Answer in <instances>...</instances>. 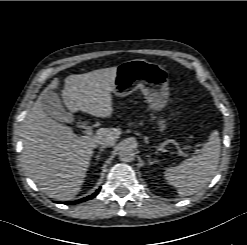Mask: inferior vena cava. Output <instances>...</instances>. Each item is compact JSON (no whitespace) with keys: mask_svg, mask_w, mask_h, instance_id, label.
Here are the masks:
<instances>
[{"mask_svg":"<svg viewBox=\"0 0 247 245\" xmlns=\"http://www.w3.org/2000/svg\"><path fill=\"white\" fill-rule=\"evenodd\" d=\"M99 145L101 146V148H106L107 146H111L112 143L110 140L106 139V140L100 141Z\"/></svg>","mask_w":247,"mask_h":245,"instance_id":"1","label":"inferior vena cava"}]
</instances>
